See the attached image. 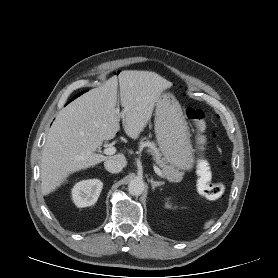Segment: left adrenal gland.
Returning <instances> with one entry per match:
<instances>
[{
  "label": "left adrenal gland",
  "mask_w": 278,
  "mask_h": 278,
  "mask_svg": "<svg viewBox=\"0 0 278 278\" xmlns=\"http://www.w3.org/2000/svg\"><path fill=\"white\" fill-rule=\"evenodd\" d=\"M150 182H151L152 190H154L157 187H160V186L164 185V182L154 181L153 179H151Z\"/></svg>",
  "instance_id": "left-adrenal-gland-1"
}]
</instances>
